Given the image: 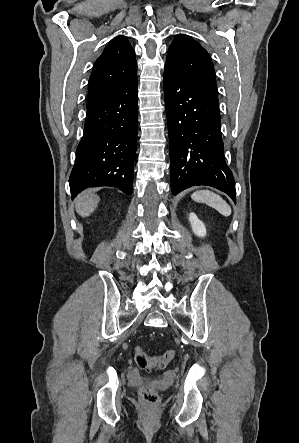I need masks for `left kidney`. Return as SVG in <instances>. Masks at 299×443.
I'll list each match as a JSON object with an SVG mask.
<instances>
[{
	"label": "left kidney",
	"instance_id": "5707ae66",
	"mask_svg": "<svg viewBox=\"0 0 299 443\" xmlns=\"http://www.w3.org/2000/svg\"><path fill=\"white\" fill-rule=\"evenodd\" d=\"M189 221L192 227V231L198 237L206 236V228L202 221H200L194 212L189 214Z\"/></svg>",
	"mask_w": 299,
	"mask_h": 443
}]
</instances>
